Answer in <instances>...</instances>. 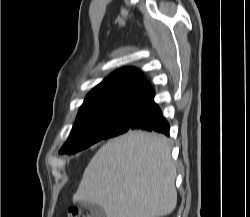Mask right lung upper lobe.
Listing matches in <instances>:
<instances>
[{"label": "right lung upper lobe", "instance_id": "right-lung-upper-lobe-1", "mask_svg": "<svg viewBox=\"0 0 250 217\" xmlns=\"http://www.w3.org/2000/svg\"><path fill=\"white\" fill-rule=\"evenodd\" d=\"M154 93L139 70L130 67L119 69L86 96L77 117L123 106L142 105Z\"/></svg>", "mask_w": 250, "mask_h": 217}]
</instances>
